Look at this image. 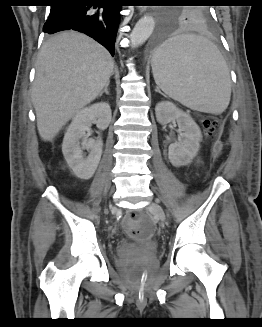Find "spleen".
<instances>
[{
    "label": "spleen",
    "mask_w": 262,
    "mask_h": 327,
    "mask_svg": "<svg viewBox=\"0 0 262 327\" xmlns=\"http://www.w3.org/2000/svg\"><path fill=\"white\" fill-rule=\"evenodd\" d=\"M151 65L156 84L182 105L212 114H221L228 107L229 68L208 39L175 35L156 49Z\"/></svg>",
    "instance_id": "obj_1"
}]
</instances>
